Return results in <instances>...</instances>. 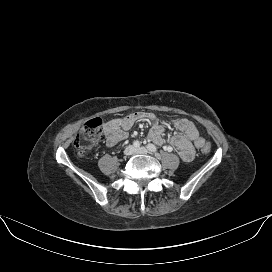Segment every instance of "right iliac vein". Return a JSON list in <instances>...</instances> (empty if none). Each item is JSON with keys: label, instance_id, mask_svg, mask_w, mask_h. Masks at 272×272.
Here are the masks:
<instances>
[{"label": "right iliac vein", "instance_id": "right-iliac-vein-1", "mask_svg": "<svg viewBox=\"0 0 272 272\" xmlns=\"http://www.w3.org/2000/svg\"><path fill=\"white\" fill-rule=\"evenodd\" d=\"M134 153H135V148L133 146H128L124 151V154L127 156L133 155Z\"/></svg>", "mask_w": 272, "mask_h": 272}]
</instances>
